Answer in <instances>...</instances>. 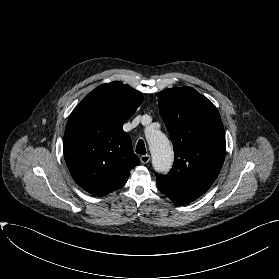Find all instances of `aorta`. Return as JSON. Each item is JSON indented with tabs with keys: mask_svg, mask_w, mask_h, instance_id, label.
<instances>
[{
	"mask_svg": "<svg viewBox=\"0 0 279 279\" xmlns=\"http://www.w3.org/2000/svg\"><path fill=\"white\" fill-rule=\"evenodd\" d=\"M146 139L152 155V166L157 172H166L172 166L173 151L167 136L160 130L149 127Z\"/></svg>",
	"mask_w": 279,
	"mask_h": 279,
	"instance_id": "aorta-1",
	"label": "aorta"
}]
</instances>
